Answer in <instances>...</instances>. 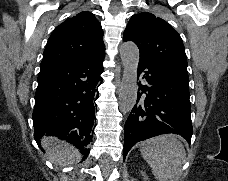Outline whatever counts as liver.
<instances>
[{
    "label": "liver",
    "instance_id": "obj_1",
    "mask_svg": "<svg viewBox=\"0 0 228 181\" xmlns=\"http://www.w3.org/2000/svg\"><path fill=\"white\" fill-rule=\"evenodd\" d=\"M41 145L46 149L49 159H52L58 165H65L69 157L75 153L72 145H68L66 141H59L56 137H43Z\"/></svg>",
    "mask_w": 228,
    "mask_h": 181
}]
</instances>
